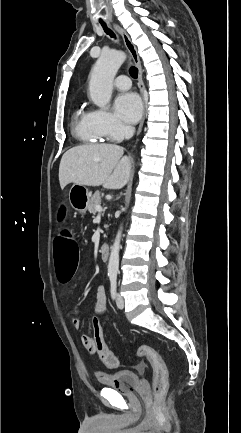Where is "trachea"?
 Segmentation results:
<instances>
[{
  "instance_id": "3493384b",
  "label": "trachea",
  "mask_w": 241,
  "mask_h": 433,
  "mask_svg": "<svg viewBox=\"0 0 241 433\" xmlns=\"http://www.w3.org/2000/svg\"><path fill=\"white\" fill-rule=\"evenodd\" d=\"M96 22H98V24L102 25V27H103L104 31L106 32V34L110 35V37H112V38H115V34L113 33V31L111 29H109L107 27V25L103 22L102 14H97ZM129 72H130V75L134 79H137V77H138V69L136 67L132 66L130 68Z\"/></svg>"
}]
</instances>
